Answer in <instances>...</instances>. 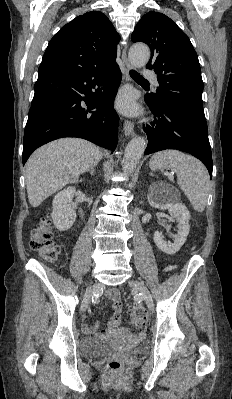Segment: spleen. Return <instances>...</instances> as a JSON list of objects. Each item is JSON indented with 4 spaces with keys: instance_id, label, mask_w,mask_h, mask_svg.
Here are the masks:
<instances>
[{
    "instance_id": "1",
    "label": "spleen",
    "mask_w": 232,
    "mask_h": 399,
    "mask_svg": "<svg viewBox=\"0 0 232 399\" xmlns=\"http://www.w3.org/2000/svg\"><path fill=\"white\" fill-rule=\"evenodd\" d=\"M151 170L176 172L178 186L190 200L196 211H204L208 200L210 178L208 170L200 160L182 154L178 150H164L154 154L149 162Z\"/></svg>"
}]
</instances>
